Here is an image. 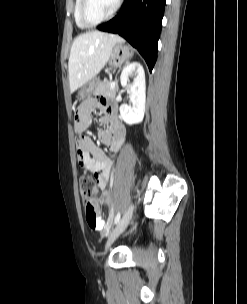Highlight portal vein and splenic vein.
Returning a JSON list of instances; mask_svg holds the SVG:
<instances>
[{"label": "portal vein and splenic vein", "instance_id": "portal-vein-and-splenic-vein-1", "mask_svg": "<svg viewBox=\"0 0 247 304\" xmlns=\"http://www.w3.org/2000/svg\"><path fill=\"white\" fill-rule=\"evenodd\" d=\"M116 82H112L111 83V88H113L115 86Z\"/></svg>", "mask_w": 247, "mask_h": 304}]
</instances>
